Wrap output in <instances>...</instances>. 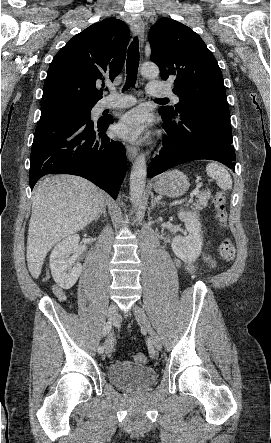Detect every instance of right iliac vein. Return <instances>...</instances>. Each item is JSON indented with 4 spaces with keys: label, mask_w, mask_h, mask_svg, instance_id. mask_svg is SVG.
Listing matches in <instances>:
<instances>
[{
    "label": "right iliac vein",
    "mask_w": 271,
    "mask_h": 443,
    "mask_svg": "<svg viewBox=\"0 0 271 443\" xmlns=\"http://www.w3.org/2000/svg\"><path fill=\"white\" fill-rule=\"evenodd\" d=\"M117 314V305L115 303H112L107 312L108 320L113 321ZM114 346V338L113 334H110L108 338L105 341V352L106 354H110L112 352Z\"/></svg>",
    "instance_id": "right-iliac-vein-1"
}]
</instances>
